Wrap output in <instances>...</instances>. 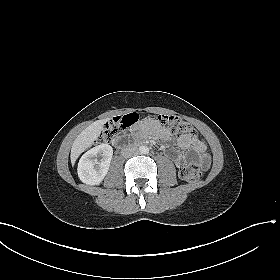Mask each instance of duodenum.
I'll use <instances>...</instances> for the list:
<instances>
[{"mask_svg": "<svg viewBox=\"0 0 280 280\" xmlns=\"http://www.w3.org/2000/svg\"><path fill=\"white\" fill-rule=\"evenodd\" d=\"M124 145H125V144H124L123 142H119V143L117 144V147H118V148H122V147H124Z\"/></svg>", "mask_w": 280, "mask_h": 280, "instance_id": "410a0bca", "label": "duodenum"}]
</instances>
